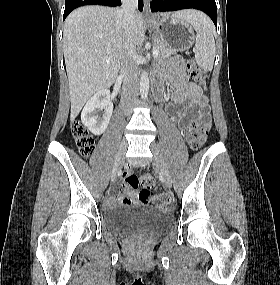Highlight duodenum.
Instances as JSON below:
<instances>
[{
  "mask_svg": "<svg viewBox=\"0 0 280 285\" xmlns=\"http://www.w3.org/2000/svg\"><path fill=\"white\" fill-rule=\"evenodd\" d=\"M153 96L156 98V99H160L161 98V95H162V87L159 85V83H156L153 85Z\"/></svg>",
  "mask_w": 280,
  "mask_h": 285,
  "instance_id": "obj_1",
  "label": "duodenum"
}]
</instances>
